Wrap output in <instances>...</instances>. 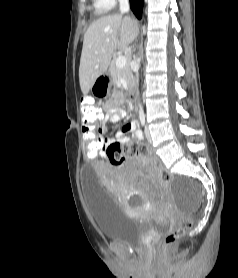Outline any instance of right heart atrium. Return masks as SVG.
I'll return each mask as SVG.
<instances>
[{
  "mask_svg": "<svg viewBox=\"0 0 238 278\" xmlns=\"http://www.w3.org/2000/svg\"><path fill=\"white\" fill-rule=\"evenodd\" d=\"M113 5L119 0H109Z\"/></svg>",
  "mask_w": 238,
  "mask_h": 278,
  "instance_id": "right-heart-atrium-1",
  "label": "right heart atrium"
}]
</instances>
